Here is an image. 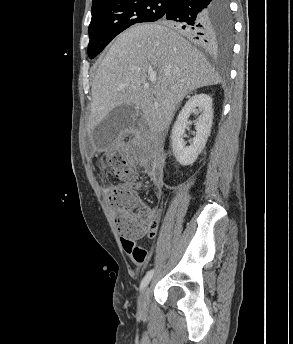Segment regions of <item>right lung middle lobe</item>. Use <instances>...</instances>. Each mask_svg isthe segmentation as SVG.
Returning <instances> with one entry per match:
<instances>
[{"label":"right lung middle lobe","mask_w":293,"mask_h":344,"mask_svg":"<svg viewBox=\"0 0 293 344\" xmlns=\"http://www.w3.org/2000/svg\"><path fill=\"white\" fill-rule=\"evenodd\" d=\"M170 0H115L92 8L88 56L93 59L119 33L136 23L163 18ZM213 16L215 44L231 47L233 25L228 0H217Z\"/></svg>","instance_id":"right-lung-middle-lobe-1"}]
</instances>
